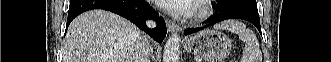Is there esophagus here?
<instances>
[{"instance_id": "34e87169", "label": "esophagus", "mask_w": 331, "mask_h": 62, "mask_svg": "<svg viewBox=\"0 0 331 62\" xmlns=\"http://www.w3.org/2000/svg\"><path fill=\"white\" fill-rule=\"evenodd\" d=\"M166 25L169 32H179L181 30L180 26L170 19L166 20Z\"/></svg>"}]
</instances>
